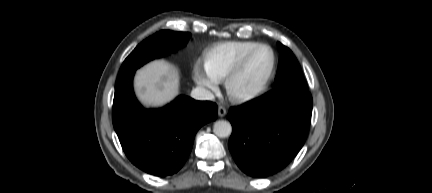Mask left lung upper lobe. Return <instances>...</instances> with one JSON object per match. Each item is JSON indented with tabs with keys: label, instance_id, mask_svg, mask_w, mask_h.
I'll list each match as a JSON object with an SVG mask.
<instances>
[{
	"label": "left lung upper lobe",
	"instance_id": "obj_1",
	"mask_svg": "<svg viewBox=\"0 0 432 193\" xmlns=\"http://www.w3.org/2000/svg\"><path fill=\"white\" fill-rule=\"evenodd\" d=\"M277 44L280 58L275 77V90L308 91L301 68L292 51L279 42Z\"/></svg>",
	"mask_w": 432,
	"mask_h": 193
}]
</instances>
